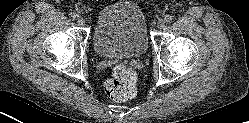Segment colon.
<instances>
[{"label": "colon", "mask_w": 249, "mask_h": 123, "mask_svg": "<svg viewBox=\"0 0 249 123\" xmlns=\"http://www.w3.org/2000/svg\"><path fill=\"white\" fill-rule=\"evenodd\" d=\"M136 84V73L123 64H117L104 83V91L112 100L128 101L136 95Z\"/></svg>", "instance_id": "obj_1"}]
</instances>
